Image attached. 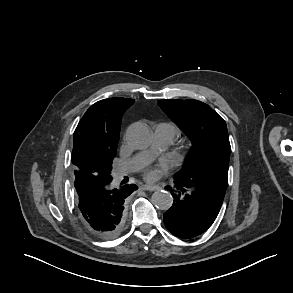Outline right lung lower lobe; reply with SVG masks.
<instances>
[{
    "label": "right lung lower lobe",
    "instance_id": "obj_1",
    "mask_svg": "<svg viewBox=\"0 0 293 293\" xmlns=\"http://www.w3.org/2000/svg\"><path fill=\"white\" fill-rule=\"evenodd\" d=\"M75 194L84 226L100 238L118 235L124 225L125 199L138 187L134 184L111 188V176L74 171Z\"/></svg>",
    "mask_w": 293,
    "mask_h": 293
}]
</instances>
